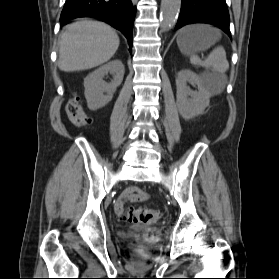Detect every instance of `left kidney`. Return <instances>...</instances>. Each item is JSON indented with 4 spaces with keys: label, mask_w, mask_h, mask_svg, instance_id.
Listing matches in <instances>:
<instances>
[{
    "label": "left kidney",
    "mask_w": 279,
    "mask_h": 279,
    "mask_svg": "<svg viewBox=\"0 0 279 279\" xmlns=\"http://www.w3.org/2000/svg\"><path fill=\"white\" fill-rule=\"evenodd\" d=\"M187 83L196 85L198 91L191 90ZM176 88V105L180 115L185 120L203 114L206 107L209 106L211 92L204 75L199 76L189 69H183L176 77Z\"/></svg>",
    "instance_id": "5707ae66"
}]
</instances>
